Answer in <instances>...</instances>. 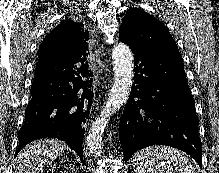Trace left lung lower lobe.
Wrapping results in <instances>:
<instances>
[{
	"label": "left lung lower lobe",
	"mask_w": 219,
	"mask_h": 173,
	"mask_svg": "<svg viewBox=\"0 0 219 173\" xmlns=\"http://www.w3.org/2000/svg\"><path fill=\"white\" fill-rule=\"evenodd\" d=\"M132 52L134 84L119 123L125 162L136 151L159 144L183 150L201 167L199 122L181 55Z\"/></svg>",
	"instance_id": "1"
}]
</instances>
